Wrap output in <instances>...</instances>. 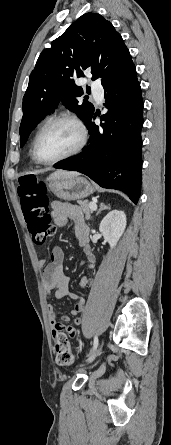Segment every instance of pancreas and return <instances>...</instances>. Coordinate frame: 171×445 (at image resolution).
Listing matches in <instances>:
<instances>
[{
    "label": "pancreas",
    "mask_w": 171,
    "mask_h": 445,
    "mask_svg": "<svg viewBox=\"0 0 171 445\" xmlns=\"http://www.w3.org/2000/svg\"><path fill=\"white\" fill-rule=\"evenodd\" d=\"M78 204L79 206H73L71 209H69V217L75 220L82 218L83 214H85V218L89 220L91 218L92 210L89 207L88 201L80 200L78 201Z\"/></svg>",
    "instance_id": "obj_1"
}]
</instances>
